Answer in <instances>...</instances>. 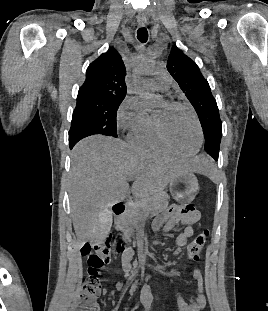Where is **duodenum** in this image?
Here are the masks:
<instances>
[{"mask_svg": "<svg viewBox=\"0 0 268 311\" xmlns=\"http://www.w3.org/2000/svg\"><path fill=\"white\" fill-rule=\"evenodd\" d=\"M126 208H127V203L126 202H119V203L114 205L113 213H114L115 219L117 221H119L122 218V216L125 213ZM119 249L123 250L124 247H119Z\"/></svg>", "mask_w": 268, "mask_h": 311, "instance_id": "410a0bca", "label": "duodenum"}]
</instances>
